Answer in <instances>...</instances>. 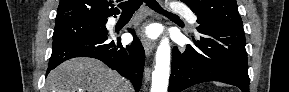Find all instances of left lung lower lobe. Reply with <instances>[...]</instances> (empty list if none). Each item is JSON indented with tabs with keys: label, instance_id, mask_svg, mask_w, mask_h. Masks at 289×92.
<instances>
[{
	"label": "left lung lower lobe",
	"instance_id": "obj_1",
	"mask_svg": "<svg viewBox=\"0 0 289 92\" xmlns=\"http://www.w3.org/2000/svg\"><path fill=\"white\" fill-rule=\"evenodd\" d=\"M199 36L184 53L173 48L169 92L206 81H221L249 92L245 36L241 28L199 24Z\"/></svg>",
	"mask_w": 289,
	"mask_h": 92
}]
</instances>
